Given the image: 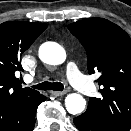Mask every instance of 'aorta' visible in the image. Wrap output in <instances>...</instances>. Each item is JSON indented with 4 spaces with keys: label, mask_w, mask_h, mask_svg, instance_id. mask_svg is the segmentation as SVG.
Wrapping results in <instances>:
<instances>
[{
    "label": "aorta",
    "mask_w": 131,
    "mask_h": 131,
    "mask_svg": "<svg viewBox=\"0 0 131 131\" xmlns=\"http://www.w3.org/2000/svg\"><path fill=\"white\" fill-rule=\"evenodd\" d=\"M39 58L47 64L59 65L66 59L65 50L57 43L47 42L39 49ZM86 105L85 99L76 93L69 94L65 99V106L70 114L81 113Z\"/></svg>",
    "instance_id": "obj_1"
}]
</instances>
